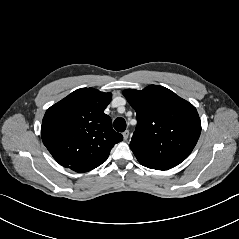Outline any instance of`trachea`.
I'll return each mask as SVG.
<instances>
[{
  "label": "trachea",
  "instance_id": "1",
  "mask_svg": "<svg viewBox=\"0 0 239 239\" xmlns=\"http://www.w3.org/2000/svg\"><path fill=\"white\" fill-rule=\"evenodd\" d=\"M113 126L116 131L124 132L126 129V121L123 118L118 117L114 120Z\"/></svg>",
  "mask_w": 239,
  "mask_h": 239
}]
</instances>
